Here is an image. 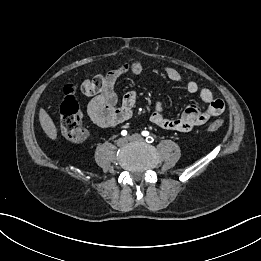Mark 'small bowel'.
I'll list each match as a JSON object with an SVG mask.
<instances>
[{"instance_id":"c3829d8e","label":"small bowel","mask_w":261,"mask_h":261,"mask_svg":"<svg viewBox=\"0 0 261 261\" xmlns=\"http://www.w3.org/2000/svg\"><path fill=\"white\" fill-rule=\"evenodd\" d=\"M128 71L140 75L143 72V65L139 61L124 64L104 75V85L99 92L82 91L86 95H94L88 103L86 111L89 119L96 126L101 128L115 127L130 117L137 101V92L135 90L126 92L121 102L118 103V97L114 90L117 79ZM161 71L168 79L182 85L190 94H198L207 106L201 109L198 106L190 105L180 118L169 119L164 115L162 102L158 100L150 117L151 122L157 127L166 131L189 132L205 124L211 118L219 116L224 111V102L215 98L210 89L200 88L196 81L184 78L173 67L163 66Z\"/></svg>"}]
</instances>
